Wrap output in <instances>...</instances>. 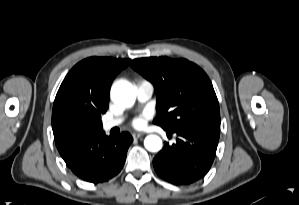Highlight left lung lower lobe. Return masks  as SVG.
<instances>
[{
	"instance_id": "1",
	"label": "left lung lower lobe",
	"mask_w": 299,
	"mask_h": 205,
	"mask_svg": "<svg viewBox=\"0 0 299 205\" xmlns=\"http://www.w3.org/2000/svg\"><path fill=\"white\" fill-rule=\"evenodd\" d=\"M177 135V143L167 145L153 159L157 174L175 185H188L203 178L209 171L220 136V124L167 130Z\"/></svg>"
}]
</instances>
